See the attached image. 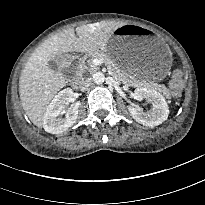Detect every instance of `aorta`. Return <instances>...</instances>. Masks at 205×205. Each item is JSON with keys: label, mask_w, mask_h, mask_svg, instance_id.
Masks as SVG:
<instances>
[{"label": "aorta", "mask_w": 205, "mask_h": 205, "mask_svg": "<svg viewBox=\"0 0 205 205\" xmlns=\"http://www.w3.org/2000/svg\"><path fill=\"white\" fill-rule=\"evenodd\" d=\"M93 80L97 84H101L105 81V76L102 72H96L93 75Z\"/></svg>", "instance_id": "obj_1"}]
</instances>
